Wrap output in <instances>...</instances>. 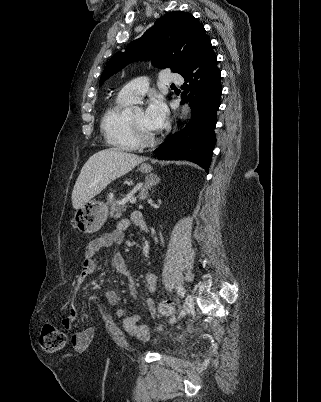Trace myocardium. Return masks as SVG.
Segmentation results:
<instances>
[{
    "label": "myocardium",
    "instance_id": "myocardium-1",
    "mask_svg": "<svg viewBox=\"0 0 321 402\" xmlns=\"http://www.w3.org/2000/svg\"><path fill=\"white\" fill-rule=\"evenodd\" d=\"M127 127L135 142L141 147L152 145L156 141L155 134L150 136L144 135L138 129L135 128L134 124L132 123L129 117L127 118Z\"/></svg>",
    "mask_w": 321,
    "mask_h": 402
}]
</instances>
